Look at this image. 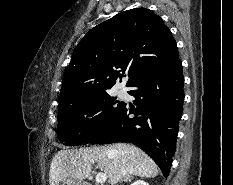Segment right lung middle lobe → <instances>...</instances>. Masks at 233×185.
I'll return each mask as SVG.
<instances>
[{
	"label": "right lung middle lobe",
	"mask_w": 233,
	"mask_h": 185,
	"mask_svg": "<svg viewBox=\"0 0 233 185\" xmlns=\"http://www.w3.org/2000/svg\"><path fill=\"white\" fill-rule=\"evenodd\" d=\"M124 102L110 97L108 91L96 93L59 108L58 136L67 146L85 142L104 127Z\"/></svg>",
	"instance_id": "obj_1"
}]
</instances>
